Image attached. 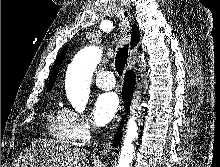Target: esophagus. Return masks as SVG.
<instances>
[{"instance_id":"1","label":"esophagus","mask_w":220,"mask_h":167,"mask_svg":"<svg viewBox=\"0 0 220 167\" xmlns=\"http://www.w3.org/2000/svg\"><path fill=\"white\" fill-rule=\"evenodd\" d=\"M132 57H130L129 59V63H128V67H130V65H132ZM122 109H123V105L120 109V114H118L117 116V124H116V127L118 126V123L120 122V119H121V112H122ZM110 149H111V140L108 139L106 140V142L103 144V147H102V150H101V155L102 156H107L108 153L110 152Z\"/></svg>"}]
</instances>
